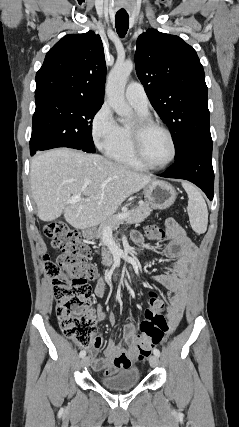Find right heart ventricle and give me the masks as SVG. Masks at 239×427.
<instances>
[{"label":"right heart ventricle","instance_id":"right-heart-ventricle-1","mask_svg":"<svg viewBox=\"0 0 239 427\" xmlns=\"http://www.w3.org/2000/svg\"><path fill=\"white\" fill-rule=\"evenodd\" d=\"M138 115L148 116L147 112L140 111L135 108ZM107 156L114 162L136 169H146L134 156L130 141V133L128 126H120V136L116 145L110 149Z\"/></svg>","mask_w":239,"mask_h":427}]
</instances>
